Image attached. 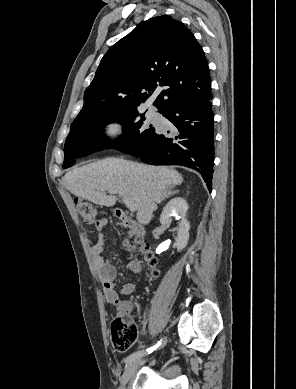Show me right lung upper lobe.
Returning a JSON list of instances; mask_svg holds the SVG:
<instances>
[{
    "label": "right lung upper lobe",
    "instance_id": "right-lung-upper-lobe-1",
    "mask_svg": "<svg viewBox=\"0 0 296 389\" xmlns=\"http://www.w3.org/2000/svg\"><path fill=\"white\" fill-rule=\"evenodd\" d=\"M158 86L164 89L153 105L163 114L211 92L202 47L183 23L166 15L139 25L108 50L76 118L96 110L137 107Z\"/></svg>",
    "mask_w": 296,
    "mask_h": 389
}]
</instances>
